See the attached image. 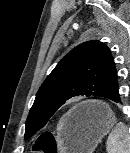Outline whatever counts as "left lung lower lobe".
Masks as SVG:
<instances>
[{
    "label": "left lung lower lobe",
    "mask_w": 130,
    "mask_h": 153,
    "mask_svg": "<svg viewBox=\"0 0 130 153\" xmlns=\"http://www.w3.org/2000/svg\"><path fill=\"white\" fill-rule=\"evenodd\" d=\"M101 97L110 99L114 102H120L119 86L117 83V72H116L115 68L110 76V79H109Z\"/></svg>",
    "instance_id": "obj_1"
}]
</instances>
